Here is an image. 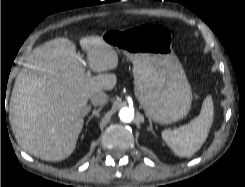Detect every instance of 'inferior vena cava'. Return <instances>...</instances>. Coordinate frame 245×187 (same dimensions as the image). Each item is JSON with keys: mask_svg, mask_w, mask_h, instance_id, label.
I'll return each instance as SVG.
<instances>
[{"mask_svg": "<svg viewBox=\"0 0 245 187\" xmlns=\"http://www.w3.org/2000/svg\"><path fill=\"white\" fill-rule=\"evenodd\" d=\"M90 102L94 106H104L108 102V96L104 92H97L90 96Z\"/></svg>", "mask_w": 245, "mask_h": 187, "instance_id": "obj_1", "label": "inferior vena cava"}]
</instances>
